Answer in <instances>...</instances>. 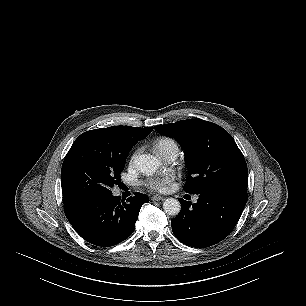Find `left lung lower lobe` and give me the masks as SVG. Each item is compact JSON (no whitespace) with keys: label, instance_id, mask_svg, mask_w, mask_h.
<instances>
[{"label":"left lung lower lobe","instance_id":"left-lung-lower-lobe-1","mask_svg":"<svg viewBox=\"0 0 306 306\" xmlns=\"http://www.w3.org/2000/svg\"><path fill=\"white\" fill-rule=\"evenodd\" d=\"M198 195L195 204L180 199L181 210L171 220L172 230L188 246L209 247L232 232L247 202V194L219 190Z\"/></svg>","mask_w":306,"mask_h":306}]
</instances>
